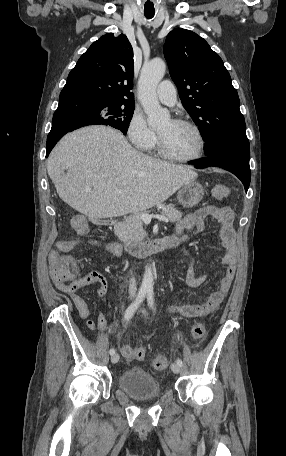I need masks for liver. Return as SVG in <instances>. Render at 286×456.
Segmentation results:
<instances>
[{
  "label": "liver",
  "instance_id": "6515ba94",
  "mask_svg": "<svg viewBox=\"0 0 286 456\" xmlns=\"http://www.w3.org/2000/svg\"><path fill=\"white\" fill-rule=\"evenodd\" d=\"M47 172L59 197L92 222L145 211L198 176L189 166L135 150L121 132L105 126L63 137L48 158Z\"/></svg>",
  "mask_w": 286,
  "mask_h": 456
}]
</instances>
